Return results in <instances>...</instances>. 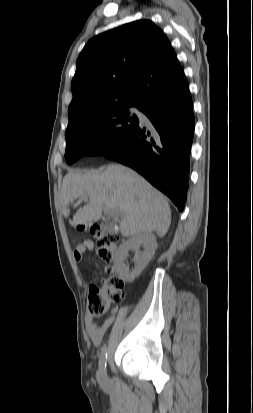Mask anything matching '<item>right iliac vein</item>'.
<instances>
[{
	"mask_svg": "<svg viewBox=\"0 0 253 413\" xmlns=\"http://www.w3.org/2000/svg\"><path fill=\"white\" fill-rule=\"evenodd\" d=\"M98 379L102 382H105L107 380V375H106L105 371H103L101 369L99 370Z\"/></svg>",
	"mask_w": 253,
	"mask_h": 413,
	"instance_id": "right-iliac-vein-1",
	"label": "right iliac vein"
}]
</instances>
